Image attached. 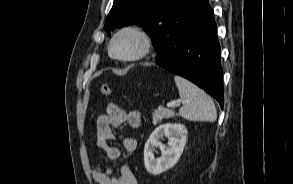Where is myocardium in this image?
Segmentation results:
<instances>
[{
    "label": "myocardium",
    "instance_id": "obj_1",
    "mask_svg": "<svg viewBox=\"0 0 293 184\" xmlns=\"http://www.w3.org/2000/svg\"><path fill=\"white\" fill-rule=\"evenodd\" d=\"M124 33H132L135 34L140 40V49L133 55L130 56H120L117 55L114 51V43L116 39L124 34ZM152 49V39L149 33L142 27L138 25H127L120 28L111 38L109 43V53L110 55L123 62H134L143 59L146 57Z\"/></svg>",
    "mask_w": 293,
    "mask_h": 184
}]
</instances>
